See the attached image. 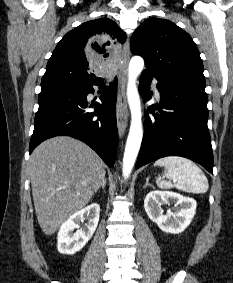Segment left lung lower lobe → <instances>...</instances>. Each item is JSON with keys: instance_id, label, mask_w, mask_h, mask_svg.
<instances>
[{"instance_id": "0a47b994", "label": "left lung lower lobe", "mask_w": 233, "mask_h": 283, "mask_svg": "<svg viewBox=\"0 0 233 283\" xmlns=\"http://www.w3.org/2000/svg\"><path fill=\"white\" fill-rule=\"evenodd\" d=\"M151 74L143 72L140 94L150 99ZM160 105H151L136 168L165 156H182L213 173V153L207 127L208 109L205 84L182 79H160ZM158 112H155V110Z\"/></svg>"}]
</instances>
